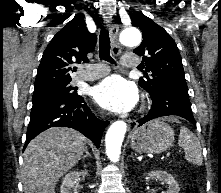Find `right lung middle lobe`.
<instances>
[{
  "instance_id": "obj_1",
  "label": "right lung middle lobe",
  "mask_w": 221,
  "mask_h": 193,
  "mask_svg": "<svg viewBox=\"0 0 221 193\" xmlns=\"http://www.w3.org/2000/svg\"><path fill=\"white\" fill-rule=\"evenodd\" d=\"M70 81L35 86L32 102L50 98L75 99L79 95L69 85Z\"/></svg>"
}]
</instances>
